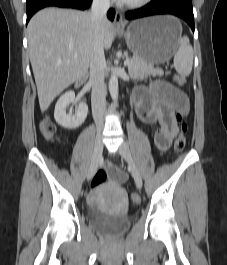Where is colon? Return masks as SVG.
Listing matches in <instances>:
<instances>
[{
	"mask_svg": "<svg viewBox=\"0 0 227 265\" xmlns=\"http://www.w3.org/2000/svg\"><path fill=\"white\" fill-rule=\"evenodd\" d=\"M172 80L177 86H183L186 83V78L180 74H174ZM176 119L178 121V135L174 141V151L175 153H180L184 150L187 142V124L183 121L181 114H177ZM40 131L45 139H51L56 132V127L48 117H45L40 123ZM107 176L108 174L105 170H99L92 179V187L95 188L103 184L107 180ZM130 199L135 204L140 201L136 194H132Z\"/></svg>",
	"mask_w": 227,
	"mask_h": 265,
	"instance_id": "colon-1",
	"label": "colon"
}]
</instances>
